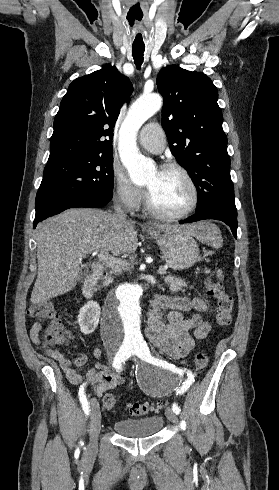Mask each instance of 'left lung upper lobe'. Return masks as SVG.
Listing matches in <instances>:
<instances>
[{"label":"left lung upper lobe","mask_w":279,"mask_h":490,"mask_svg":"<svg viewBox=\"0 0 279 490\" xmlns=\"http://www.w3.org/2000/svg\"><path fill=\"white\" fill-rule=\"evenodd\" d=\"M156 83L169 147L197 188L196 212L218 207L237 213L217 88L204 73L176 65L162 68Z\"/></svg>","instance_id":"left-lung-upper-lobe-1"}]
</instances>
